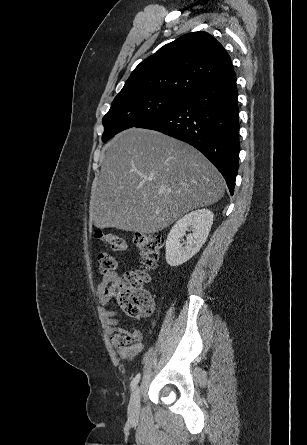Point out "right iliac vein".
Instances as JSON below:
<instances>
[{"label": "right iliac vein", "mask_w": 307, "mask_h": 445, "mask_svg": "<svg viewBox=\"0 0 307 445\" xmlns=\"http://www.w3.org/2000/svg\"><path fill=\"white\" fill-rule=\"evenodd\" d=\"M140 413V389L136 387L133 391L128 406V415L131 420H136Z\"/></svg>", "instance_id": "obj_1"}]
</instances>
